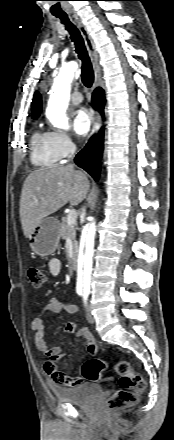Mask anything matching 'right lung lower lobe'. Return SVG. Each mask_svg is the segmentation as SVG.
<instances>
[{"label":"right lung lower lobe","instance_id":"1","mask_svg":"<svg viewBox=\"0 0 174 440\" xmlns=\"http://www.w3.org/2000/svg\"><path fill=\"white\" fill-rule=\"evenodd\" d=\"M93 107L103 114V107L105 103L104 91L97 88L93 93ZM103 137L104 128L92 139L75 157V163L86 170L96 181H98L100 173V160L103 154Z\"/></svg>","mask_w":174,"mask_h":440}]
</instances>
